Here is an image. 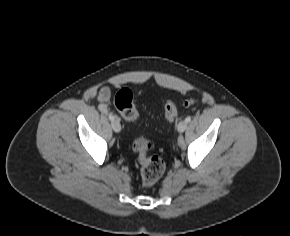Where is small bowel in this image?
Masks as SVG:
<instances>
[{"mask_svg":"<svg viewBox=\"0 0 290 236\" xmlns=\"http://www.w3.org/2000/svg\"><path fill=\"white\" fill-rule=\"evenodd\" d=\"M111 97V90L109 87L105 86L102 87L98 94V101L102 107V109H106L107 104Z\"/></svg>","mask_w":290,"mask_h":236,"instance_id":"small-bowel-1","label":"small bowel"}]
</instances>
